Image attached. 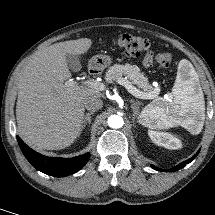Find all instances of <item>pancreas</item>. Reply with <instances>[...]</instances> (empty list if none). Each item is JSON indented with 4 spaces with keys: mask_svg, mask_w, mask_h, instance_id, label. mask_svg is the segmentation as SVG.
<instances>
[{
    "mask_svg": "<svg viewBox=\"0 0 215 215\" xmlns=\"http://www.w3.org/2000/svg\"><path fill=\"white\" fill-rule=\"evenodd\" d=\"M123 75L127 76L130 81L139 89H142L143 92L154 93L156 96L159 94L160 89L153 88L140 68L128 63L124 65L115 64L111 66L106 72L105 79L107 83H112Z\"/></svg>",
    "mask_w": 215,
    "mask_h": 215,
    "instance_id": "pancreas-1",
    "label": "pancreas"
}]
</instances>
